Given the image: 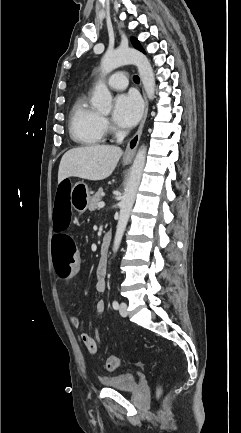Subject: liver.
Masks as SVG:
<instances>
[{
  "instance_id": "obj_1",
  "label": "liver",
  "mask_w": 241,
  "mask_h": 433,
  "mask_svg": "<svg viewBox=\"0 0 241 433\" xmlns=\"http://www.w3.org/2000/svg\"><path fill=\"white\" fill-rule=\"evenodd\" d=\"M122 153L121 148L109 145L70 149L60 161L58 183L68 177L91 181L106 179L114 171Z\"/></svg>"
}]
</instances>
